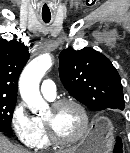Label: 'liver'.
<instances>
[{
  "mask_svg": "<svg viewBox=\"0 0 130 153\" xmlns=\"http://www.w3.org/2000/svg\"><path fill=\"white\" fill-rule=\"evenodd\" d=\"M66 150L62 153H72ZM0 153H28L26 150L14 146L5 136L0 133Z\"/></svg>",
  "mask_w": 130,
  "mask_h": 153,
  "instance_id": "obj_1",
  "label": "liver"
}]
</instances>
